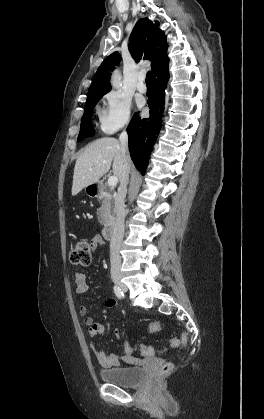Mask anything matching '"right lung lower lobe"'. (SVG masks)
Wrapping results in <instances>:
<instances>
[{
	"instance_id": "98d812e1",
	"label": "right lung lower lobe",
	"mask_w": 264,
	"mask_h": 419,
	"mask_svg": "<svg viewBox=\"0 0 264 419\" xmlns=\"http://www.w3.org/2000/svg\"><path fill=\"white\" fill-rule=\"evenodd\" d=\"M168 72L157 75L154 80V93L149 99L150 117L141 119L136 113L128 128L129 151L135 167L145 173L156 135L161 127V118L164 109V90L168 81Z\"/></svg>"
}]
</instances>
